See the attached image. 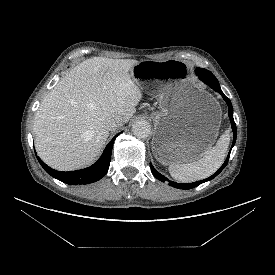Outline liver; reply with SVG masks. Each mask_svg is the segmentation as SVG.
<instances>
[{"instance_id":"obj_1","label":"liver","mask_w":275,"mask_h":275,"mask_svg":"<svg viewBox=\"0 0 275 275\" xmlns=\"http://www.w3.org/2000/svg\"><path fill=\"white\" fill-rule=\"evenodd\" d=\"M133 59L94 57L71 69L43 99L33 131L39 157L50 167L71 171L91 164L109 136L106 122L124 123L142 98L130 71Z\"/></svg>"}]
</instances>
